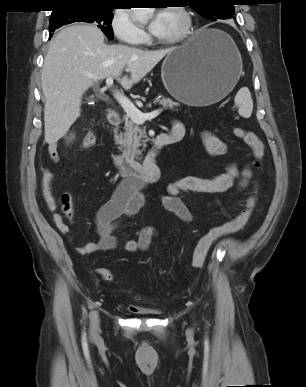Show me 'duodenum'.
I'll list each match as a JSON object with an SVG mask.
<instances>
[{"mask_svg": "<svg viewBox=\"0 0 306 387\" xmlns=\"http://www.w3.org/2000/svg\"><path fill=\"white\" fill-rule=\"evenodd\" d=\"M108 121L112 127L117 128L121 123V116L116 110H111L108 113ZM180 139V134L160 133L155 137L153 147L143 161L130 156L115 155L113 165L120 175L129 181L156 182L161 176V170L157 164L160 150Z\"/></svg>", "mask_w": 306, "mask_h": 387, "instance_id": "duodenum-1", "label": "duodenum"}]
</instances>
